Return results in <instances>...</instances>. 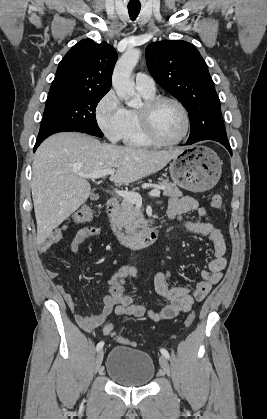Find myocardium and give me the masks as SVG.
Listing matches in <instances>:
<instances>
[{"label": "myocardium", "instance_id": "myocardium-1", "mask_svg": "<svg viewBox=\"0 0 267 419\" xmlns=\"http://www.w3.org/2000/svg\"><path fill=\"white\" fill-rule=\"evenodd\" d=\"M164 102H171L175 104L182 112L184 118V130L179 138L173 141H166L159 137L157 134L153 117L156 109L160 104ZM139 117L142 129L146 137L154 144L158 146H174L181 143L188 135L190 129V116L185 105L178 99L171 96H155L151 99L145 100L143 106L139 109Z\"/></svg>", "mask_w": 267, "mask_h": 419}]
</instances>
